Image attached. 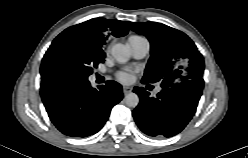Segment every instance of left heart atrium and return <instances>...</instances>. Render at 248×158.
<instances>
[{"label": "left heart atrium", "mask_w": 248, "mask_h": 158, "mask_svg": "<svg viewBox=\"0 0 248 158\" xmlns=\"http://www.w3.org/2000/svg\"><path fill=\"white\" fill-rule=\"evenodd\" d=\"M116 77L119 81L127 83L132 80V73L128 70H122L116 74Z\"/></svg>", "instance_id": "left-heart-atrium-1"}]
</instances>
